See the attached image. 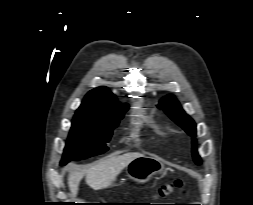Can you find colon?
<instances>
[{"label":"colon","mask_w":253,"mask_h":205,"mask_svg":"<svg viewBox=\"0 0 253 205\" xmlns=\"http://www.w3.org/2000/svg\"><path fill=\"white\" fill-rule=\"evenodd\" d=\"M183 181L176 180L172 183L161 186L155 193V197H167L171 195L175 190H181L183 188Z\"/></svg>","instance_id":"colon-1"}]
</instances>
